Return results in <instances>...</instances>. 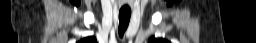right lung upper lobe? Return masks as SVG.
Wrapping results in <instances>:
<instances>
[{"label": "right lung upper lobe", "instance_id": "1", "mask_svg": "<svg viewBox=\"0 0 256 43\" xmlns=\"http://www.w3.org/2000/svg\"><path fill=\"white\" fill-rule=\"evenodd\" d=\"M79 43H96V39L94 37H88L79 41Z\"/></svg>", "mask_w": 256, "mask_h": 43}]
</instances>
